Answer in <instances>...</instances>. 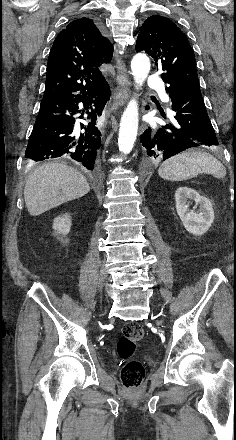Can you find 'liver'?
<instances>
[{
	"label": "liver",
	"mask_w": 236,
	"mask_h": 440,
	"mask_svg": "<svg viewBox=\"0 0 236 440\" xmlns=\"http://www.w3.org/2000/svg\"><path fill=\"white\" fill-rule=\"evenodd\" d=\"M90 191L86 178L73 168L47 163L36 168L24 188V200L30 215L38 216Z\"/></svg>",
	"instance_id": "liver-1"
}]
</instances>
